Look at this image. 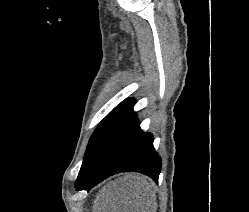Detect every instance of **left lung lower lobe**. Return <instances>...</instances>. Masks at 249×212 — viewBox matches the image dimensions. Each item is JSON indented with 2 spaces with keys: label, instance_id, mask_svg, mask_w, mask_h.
Here are the masks:
<instances>
[{
  "label": "left lung lower lobe",
  "instance_id": "obj_1",
  "mask_svg": "<svg viewBox=\"0 0 249 212\" xmlns=\"http://www.w3.org/2000/svg\"><path fill=\"white\" fill-rule=\"evenodd\" d=\"M161 158L153 147V136L140 129L131 107L107 131L76 181L77 190H90L120 172H140L158 181Z\"/></svg>",
  "mask_w": 249,
  "mask_h": 212
}]
</instances>
